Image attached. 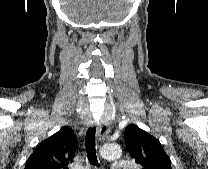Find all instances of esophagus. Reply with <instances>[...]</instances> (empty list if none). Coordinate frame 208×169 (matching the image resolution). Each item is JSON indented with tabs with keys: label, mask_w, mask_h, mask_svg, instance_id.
<instances>
[{
	"label": "esophagus",
	"mask_w": 208,
	"mask_h": 169,
	"mask_svg": "<svg viewBox=\"0 0 208 169\" xmlns=\"http://www.w3.org/2000/svg\"><path fill=\"white\" fill-rule=\"evenodd\" d=\"M110 132V124L108 121L102 119L98 123V137L99 139H104Z\"/></svg>",
	"instance_id": "obj_1"
}]
</instances>
